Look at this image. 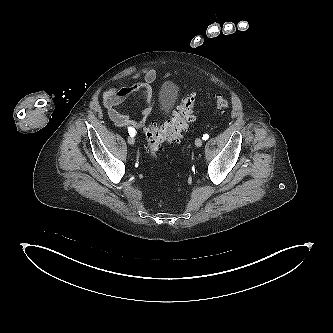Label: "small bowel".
I'll list each match as a JSON object with an SVG mask.
<instances>
[{
    "mask_svg": "<svg viewBox=\"0 0 333 333\" xmlns=\"http://www.w3.org/2000/svg\"><path fill=\"white\" fill-rule=\"evenodd\" d=\"M156 79V71L152 68L140 69L129 77L127 81H133L129 85L114 87L102 93V102L107 110L109 119L119 128H132L135 131L142 129L150 114L153 99L152 83ZM134 93H140L143 101V109L139 119H132L128 115L117 110V106Z\"/></svg>",
    "mask_w": 333,
    "mask_h": 333,
    "instance_id": "small-bowel-1",
    "label": "small bowel"
}]
</instances>
